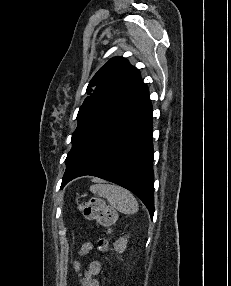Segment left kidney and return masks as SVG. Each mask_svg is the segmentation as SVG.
<instances>
[{"mask_svg": "<svg viewBox=\"0 0 231 286\" xmlns=\"http://www.w3.org/2000/svg\"><path fill=\"white\" fill-rule=\"evenodd\" d=\"M127 237H121L119 238L117 241H115L114 245V249L116 252L118 253H123L127 247Z\"/></svg>", "mask_w": 231, "mask_h": 286, "instance_id": "obj_1", "label": "left kidney"}]
</instances>
